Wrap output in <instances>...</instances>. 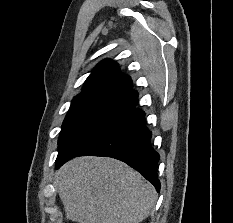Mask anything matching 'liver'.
I'll list each match as a JSON object with an SVG mask.
<instances>
[{"label":"liver","mask_w":233,"mask_h":223,"mask_svg":"<svg viewBox=\"0 0 233 223\" xmlns=\"http://www.w3.org/2000/svg\"><path fill=\"white\" fill-rule=\"evenodd\" d=\"M55 183L66 217L77 223H139L157 197L138 171L112 157H74Z\"/></svg>","instance_id":"liver-1"}]
</instances>
